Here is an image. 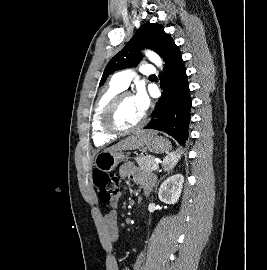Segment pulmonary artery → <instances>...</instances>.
Returning <instances> with one entry per match:
<instances>
[{
	"instance_id": "1",
	"label": "pulmonary artery",
	"mask_w": 267,
	"mask_h": 270,
	"mask_svg": "<svg viewBox=\"0 0 267 270\" xmlns=\"http://www.w3.org/2000/svg\"><path fill=\"white\" fill-rule=\"evenodd\" d=\"M140 72L143 75H154L156 73V69L151 64H144L140 67ZM134 76L135 72L133 70H122L113 75L112 81L120 88L126 89Z\"/></svg>"
}]
</instances>
